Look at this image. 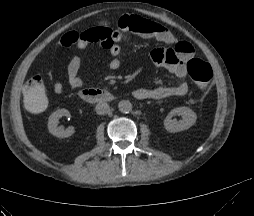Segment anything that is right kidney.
<instances>
[{"instance_id": "right-kidney-1", "label": "right kidney", "mask_w": 254, "mask_h": 216, "mask_svg": "<svg viewBox=\"0 0 254 216\" xmlns=\"http://www.w3.org/2000/svg\"><path fill=\"white\" fill-rule=\"evenodd\" d=\"M62 116L69 117L70 112L67 109H59L53 112L48 119L49 132L58 138H66L75 133V129L73 127H68L64 130L62 127L58 126V119Z\"/></svg>"}]
</instances>
